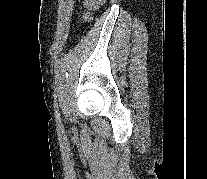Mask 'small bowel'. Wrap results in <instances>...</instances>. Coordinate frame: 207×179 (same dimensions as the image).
Segmentation results:
<instances>
[{
  "label": "small bowel",
  "mask_w": 207,
  "mask_h": 179,
  "mask_svg": "<svg viewBox=\"0 0 207 179\" xmlns=\"http://www.w3.org/2000/svg\"><path fill=\"white\" fill-rule=\"evenodd\" d=\"M105 0H84V7L87 10H93L97 8L99 5L103 4Z\"/></svg>",
  "instance_id": "1"
}]
</instances>
